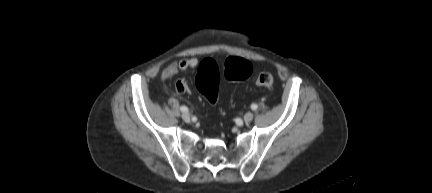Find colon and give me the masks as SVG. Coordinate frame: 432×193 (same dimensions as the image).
<instances>
[{"label":"colon","mask_w":432,"mask_h":193,"mask_svg":"<svg viewBox=\"0 0 432 193\" xmlns=\"http://www.w3.org/2000/svg\"><path fill=\"white\" fill-rule=\"evenodd\" d=\"M223 75L228 80H243L252 73L251 63L243 58L230 57L222 67ZM173 69L165 72V77L170 76ZM220 71L217 64L211 59H205L199 66L196 85L199 91L212 104L217 100ZM274 83V77L270 72H262L256 79L257 86L270 88Z\"/></svg>","instance_id":"5ec220e1"}]
</instances>
